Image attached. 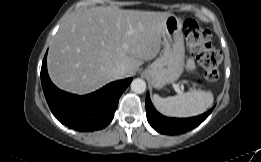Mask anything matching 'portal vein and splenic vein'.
Returning <instances> with one entry per match:
<instances>
[{
	"label": "portal vein and splenic vein",
	"mask_w": 261,
	"mask_h": 162,
	"mask_svg": "<svg viewBox=\"0 0 261 162\" xmlns=\"http://www.w3.org/2000/svg\"><path fill=\"white\" fill-rule=\"evenodd\" d=\"M173 87H174V89H175L176 92L181 93V90H180V88H179L178 85L173 84Z\"/></svg>",
	"instance_id": "obj_1"
}]
</instances>
